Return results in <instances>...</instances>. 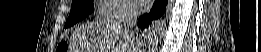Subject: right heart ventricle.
Returning <instances> with one entry per match:
<instances>
[{"label": "right heart ventricle", "instance_id": "e07e8e85", "mask_svg": "<svg viewBox=\"0 0 261 52\" xmlns=\"http://www.w3.org/2000/svg\"><path fill=\"white\" fill-rule=\"evenodd\" d=\"M108 9H110L109 6H103V7L101 8V11L104 12V11H107Z\"/></svg>", "mask_w": 261, "mask_h": 52}]
</instances>
